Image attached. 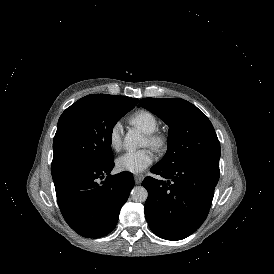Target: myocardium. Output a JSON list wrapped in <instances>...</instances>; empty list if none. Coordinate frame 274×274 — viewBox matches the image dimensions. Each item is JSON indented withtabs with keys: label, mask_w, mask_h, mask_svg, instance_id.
I'll return each mask as SVG.
<instances>
[{
	"label": "myocardium",
	"mask_w": 274,
	"mask_h": 274,
	"mask_svg": "<svg viewBox=\"0 0 274 274\" xmlns=\"http://www.w3.org/2000/svg\"><path fill=\"white\" fill-rule=\"evenodd\" d=\"M146 139L148 141V146L157 152L165 150L168 146V139L163 134H149Z\"/></svg>",
	"instance_id": "1"
}]
</instances>
